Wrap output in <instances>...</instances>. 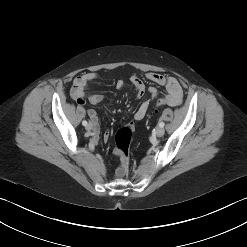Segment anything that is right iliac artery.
Returning a JSON list of instances; mask_svg holds the SVG:
<instances>
[{
	"label": "right iliac artery",
	"mask_w": 247,
	"mask_h": 247,
	"mask_svg": "<svg viewBox=\"0 0 247 247\" xmlns=\"http://www.w3.org/2000/svg\"><path fill=\"white\" fill-rule=\"evenodd\" d=\"M82 125H83V126H86V125H87V121L84 120V121L82 122Z\"/></svg>",
	"instance_id": "obj_1"
}]
</instances>
